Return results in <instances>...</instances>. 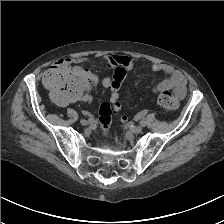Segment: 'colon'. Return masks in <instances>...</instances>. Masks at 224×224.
<instances>
[{
  "label": "colon",
  "instance_id": "obj_1",
  "mask_svg": "<svg viewBox=\"0 0 224 224\" xmlns=\"http://www.w3.org/2000/svg\"><path fill=\"white\" fill-rule=\"evenodd\" d=\"M125 75L123 68H116L107 82L110 96L100 104L98 112L103 135L109 132L113 112L120 109L118 92ZM44 83L57 102L66 104L77 102L91 92L96 85V78L88 70L58 62L45 74ZM157 103L164 109L173 110L178 107V98L170 91H163L158 95Z\"/></svg>",
  "mask_w": 224,
  "mask_h": 224
}]
</instances>
